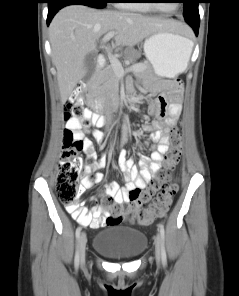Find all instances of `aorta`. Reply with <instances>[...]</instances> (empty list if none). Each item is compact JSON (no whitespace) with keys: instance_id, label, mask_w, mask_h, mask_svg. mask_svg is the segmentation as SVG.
I'll return each mask as SVG.
<instances>
[{"instance_id":"obj_1","label":"aorta","mask_w":239,"mask_h":296,"mask_svg":"<svg viewBox=\"0 0 239 296\" xmlns=\"http://www.w3.org/2000/svg\"><path fill=\"white\" fill-rule=\"evenodd\" d=\"M128 122H129L128 117H125L124 125H123V128H122V136H123L124 139L128 135Z\"/></svg>"}]
</instances>
